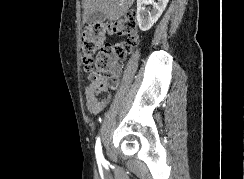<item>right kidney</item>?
I'll list each match as a JSON object with an SVG mask.
<instances>
[{"mask_svg":"<svg viewBox=\"0 0 244 179\" xmlns=\"http://www.w3.org/2000/svg\"><path fill=\"white\" fill-rule=\"evenodd\" d=\"M168 2L169 0H158V2H154V0H137L136 18L142 32H147V30L152 28L153 24H156ZM149 4L153 6L151 12H148L145 8V6H149Z\"/></svg>","mask_w":244,"mask_h":179,"instance_id":"1","label":"right kidney"}]
</instances>
